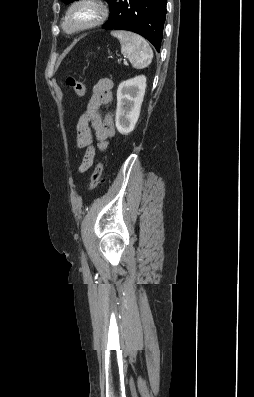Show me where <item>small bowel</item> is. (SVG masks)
Instances as JSON below:
<instances>
[{"instance_id":"c3829d8e","label":"small bowel","mask_w":254,"mask_h":397,"mask_svg":"<svg viewBox=\"0 0 254 397\" xmlns=\"http://www.w3.org/2000/svg\"><path fill=\"white\" fill-rule=\"evenodd\" d=\"M112 88L113 82L110 79H100L94 85L86 109L78 119L76 142L79 148L84 149L82 161L78 168L80 173H85L93 164L96 149L92 145V129L102 151L107 149L108 139L115 134L112 114L110 112L101 114L99 110L102 105H108L112 101Z\"/></svg>"}]
</instances>
